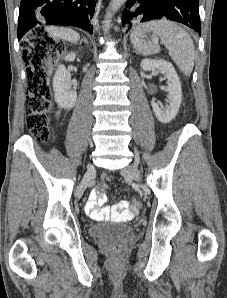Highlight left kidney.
<instances>
[{"instance_id": "left-kidney-1", "label": "left kidney", "mask_w": 227, "mask_h": 298, "mask_svg": "<svg viewBox=\"0 0 227 298\" xmlns=\"http://www.w3.org/2000/svg\"><path fill=\"white\" fill-rule=\"evenodd\" d=\"M141 68L144 71L159 70L167 78L169 105L159 106L155 101L151 105L157 119L162 123H169L177 115L182 100L181 83L173 65L161 59H143Z\"/></svg>"}]
</instances>
